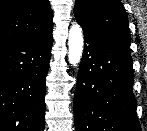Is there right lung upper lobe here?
<instances>
[{
    "instance_id": "obj_1",
    "label": "right lung upper lobe",
    "mask_w": 147,
    "mask_h": 131,
    "mask_svg": "<svg viewBox=\"0 0 147 131\" xmlns=\"http://www.w3.org/2000/svg\"><path fill=\"white\" fill-rule=\"evenodd\" d=\"M49 0H0V50L52 31Z\"/></svg>"
}]
</instances>
